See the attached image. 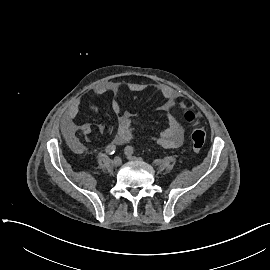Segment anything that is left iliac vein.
Wrapping results in <instances>:
<instances>
[{"label":"left iliac vein","instance_id":"1","mask_svg":"<svg viewBox=\"0 0 270 270\" xmlns=\"http://www.w3.org/2000/svg\"><path fill=\"white\" fill-rule=\"evenodd\" d=\"M126 156L129 160H137V158L133 156L132 154L126 153Z\"/></svg>","mask_w":270,"mask_h":270}]
</instances>
